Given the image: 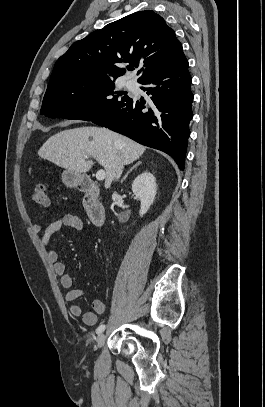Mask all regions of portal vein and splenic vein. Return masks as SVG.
<instances>
[{
  "label": "portal vein and splenic vein",
  "instance_id": "obj_1",
  "mask_svg": "<svg viewBox=\"0 0 265 407\" xmlns=\"http://www.w3.org/2000/svg\"><path fill=\"white\" fill-rule=\"evenodd\" d=\"M85 159L88 160V156H85ZM88 162H89L91 165L93 164V161H91V160H88ZM105 176H106V172H105L104 170H99V171H97V173H96V179L99 180V181L104 180Z\"/></svg>",
  "mask_w": 265,
  "mask_h": 407
}]
</instances>
